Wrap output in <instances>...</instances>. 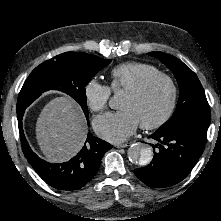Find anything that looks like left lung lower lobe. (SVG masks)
Here are the masks:
<instances>
[{
  "label": "left lung lower lobe",
  "instance_id": "obj_1",
  "mask_svg": "<svg viewBox=\"0 0 221 221\" xmlns=\"http://www.w3.org/2000/svg\"><path fill=\"white\" fill-rule=\"evenodd\" d=\"M149 138L159 142L151 163L134 170L146 185L154 188L169 187L182 181L202 155L206 132L185 127L172 133L156 131Z\"/></svg>",
  "mask_w": 221,
  "mask_h": 221
}]
</instances>
